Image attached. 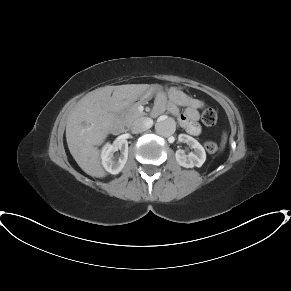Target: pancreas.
I'll return each mask as SVG.
<instances>
[{"label":"pancreas","instance_id":"cf45deb5","mask_svg":"<svg viewBox=\"0 0 291 291\" xmlns=\"http://www.w3.org/2000/svg\"><path fill=\"white\" fill-rule=\"evenodd\" d=\"M141 104H143V100L127 106L123 111V117L127 123H132L135 119L146 115L145 112L139 110Z\"/></svg>","mask_w":291,"mask_h":291}]
</instances>
